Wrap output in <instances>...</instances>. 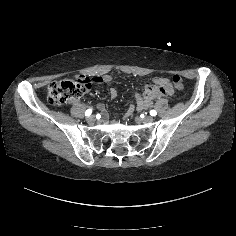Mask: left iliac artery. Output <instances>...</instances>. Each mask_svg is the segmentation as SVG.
Segmentation results:
<instances>
[{
  "label": "left iliac artery",
  "mask_w": 236,
  "mask_h": 236,
  "mask_svg": "<svg viewBox=\"0 0 236 236\" xmlns=\"http://www.w3.org/2000/svg\"><path fill=\"white\" fill-rule=\"evenodd\" d=\"M150 115H151V116H156V115H157V112H156L155 110H151V111H150Z\"/></svg>",
  "instance_id": "obj_1"
}]
</instances>
